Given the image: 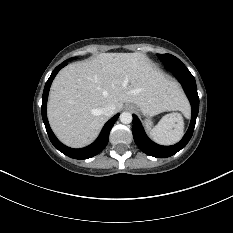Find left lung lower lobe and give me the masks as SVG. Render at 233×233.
<instances>
[{
    "label": "left lung lower lobe",
    "mask_w": 233,
    "mask_h": 233,
    "mask_svg": "<svg viewBox=\"0 0 233 233\" xmlns=\"http://www.w3.org/2000/svg\"><path fill=\"white\" fill-rule=\"evenodd\" d=\"M172 72L174 76L178 79V81L181 83L192 108L190 126L182 140L179 143L172 146H161L154 143L145 134L141 122L139 121L137 116L133 115L132 133L136 144L141 149V151L157 158L170 157L187 145V143L192 137L196 123V118L199 111V97L197 93L196 82L193 75L190 73L189 70H174Z\"/></svg>",
    "instance_id": "1"
}]
</instances>
